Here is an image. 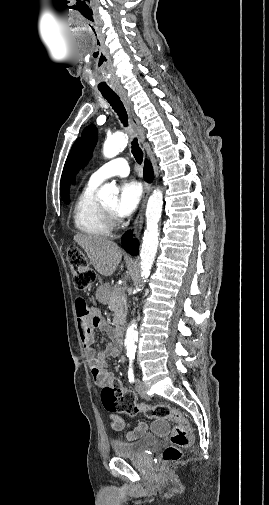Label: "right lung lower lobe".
I'll return each mask as SVG.
<instances>
[{
    "label": "right lung lower lobe",
    "mask_w": 269,
    "mask_h": 505,
    "mask_svg": "<svg viewBox=\"0 0 269 505\" xmlns=\"http://www.w3.org/2000/svg\"><path fill=\"white\" fill-rule=\"evenodd\" d=\"M144 177L145 180L151 182L153 179V170L151 163L149 161H145L144 164ZM122 245L127 252L132 255H137L138 253V240L132 238V232L127 231L122 237Z\"/></svg>",
    "instance_id": "98d812e1"
}]
</instances>
